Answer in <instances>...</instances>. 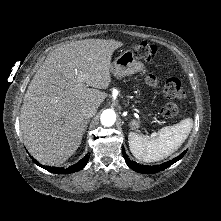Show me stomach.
I'll return each instance as SVG.
<instances>
[{
    "instance_id": "1",
    "label": "stomach",
    "mask_w": 221,
    "mask_h": 221,
    "mask_svg": "<svg viewBox=\"0 0 221 221\" xmlns=\"http://www.w3.org/2000/svg\"><path fill=\"white\" fill-rule=\"evenodd\" d=\"M111 72L116 77H124L138 72H145V66L137 60L132 50H126L111 64ZM139 125V120H133L130 123L132 129H137Z\"/></svg>"
}]
</instances>
